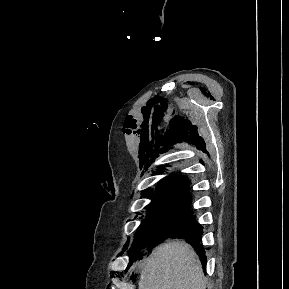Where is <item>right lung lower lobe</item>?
<instances>
[{
  "label": "right lung lower lobe",
  "mask_w": 289,
  "mask_h": 289,
  "mask_svg": "<svg viewBox=\"0 0 289 289\" xmlns=\"http://www.w3.org/2000/svg\"><path fill=\"white\" fill-rule=\"evenodd\" d=\"M202 227L200 224H198L195 221V216L193 215L191 220L185 223V225L181 228V230L174 234L173 236H154L147 239H144L142 241L136 242L134 245H132L130 249V255L133 256L139 253V251L144 248L146 245L155 246L157 243L167 239V238H185L188 243H190L195 250L197 251L202 264L204 265L206 263V256L205 251L200 245V239L202 236Z\"/></svg>",
  "instance_id": "1"
}]
</instances>
